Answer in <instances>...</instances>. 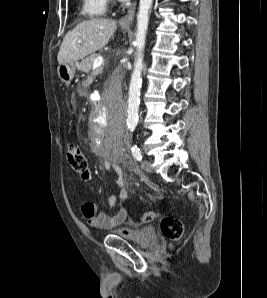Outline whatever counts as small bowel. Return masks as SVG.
I'll use <instances>...</instances> for the list:
<instances>
[{"instance_id":"c3829d8e","label":"small bowel","mask_w":267,"mask_h":298,"mask_svg":"<svg viewBox=\"0 0 267 298\" xmlns=\"http://www.w3.org/2000/svg\"><path fill=\"white\" fill-rule=\"evenodd\" d=\"M108 167H110V165ZM115 171L118 175L116 180L118 191L116 193L110 194L107 197L106 204L108 206H114L118 200L125 201L128 197V192L126 189L125 179L123 177L122 171L117 166L115 167ZM91 177V172L89 171L87 178H83V180L89 181L91 180ZM81 213L83 218L90 226L103 230L113 229L124 223L127 218V211L125 208H121L114 215H109L103 211H100L98 204L94 201H87L83 203L81 206ZM119 231L120 233L127 235L131 232V229L121 228Z\"/></svg>"}]
</instances>
